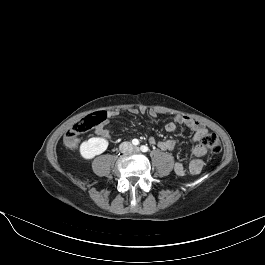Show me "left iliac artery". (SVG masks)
<instances>
[{
	"instance_id": "left-iliac-artery-1",
	"label": "left iliac artery",
	"mask_w": 265,
	"mask_h": 265,
	"mask_svg": "<svg viewBox=\"0 0 265 265\" xmlns=\"http://www.w3.org/2000/svg\"><path fill=\"white\" fill-rule=\"evenodd\" d=\"M140 149H141L142 152H147L149 150V148L147 146H145V145H142L140 147Z\"/></svg>"
}]
</instances>
